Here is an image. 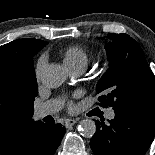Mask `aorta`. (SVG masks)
Returning <instances> with one entry per match:
<instances>
[{"mask_svg":"<svg viewBox=\"0 0 155 155\" xmlns=\"http://www.w3.org/2000/svg\"><path fill=\"white\" fill-rule=\"evenodd\" d=\"M66 79V69L58 64H49L41 71V82L47 88H57ZM78 131L85 138H92L96 132L95 122L91 119H84L78 125Z\"/></svg>","mask_w":155,"mask_h":155,"instance_id":"aorta-1","label":"aorta"}]
</instances>
